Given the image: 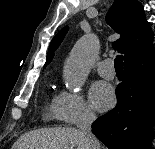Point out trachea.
I'll return each instance as SVG.
<instances>
[{"mask_svg": "<svg viewBox=\"0 0 155 149\" xmlns=\"http://www.w3.org/2000/svg\"><path fill=\"white\" fill-rule=\"evenodd\" d=\"M122 61H123L122 55H119L115 58V60H114L115 70L123 71Z\"/></svg>", "mask_w": 155, "mask_h": 149, "instance_id": "trachea-1", "label": "trachea"}]
</instances>
